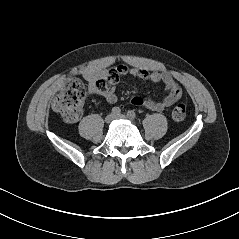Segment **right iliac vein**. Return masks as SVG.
Instances as JSON below:
<instances>
[{
    "label": "right iliac vein",
    "mask_w": 239,
    "mask_h": 239,
    "mask_svg": "<svg viewBox=\"0 0 239 239\" xmlns=\"http://www.w3.org/2000/svg\"><path fill=\"white\" fill-rule=\"evenodd\" d=\"M115 118V116L113 114H109L105 117V122L106 123H110L112 122V120Z\"/></svg>",
    "instance_id": "obj_1"
}]
</instances>
